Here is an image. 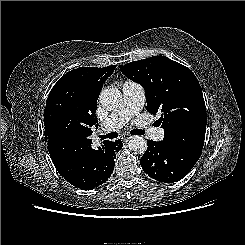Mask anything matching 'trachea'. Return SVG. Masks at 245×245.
I'll return each mask as SVG.
<instances>
[{"mask_svg": "<svg viewBox=\"0 0 245 245\" xmlns=\"http://www.w3.org/2000/svg\"><path fill=\"white\" fill-rule=\"evenodd\" d=\"M131 134L133 135H143L144 134V130L141 129H134L131 131ZM118 137V133L116 132H110L106 135H100L101 139H105V138H109V139H114Z\"/></svg>", "mask_w": 245, "mask_h": 245, "instance_id": "1", "label": "trachea"}]
</instances>
